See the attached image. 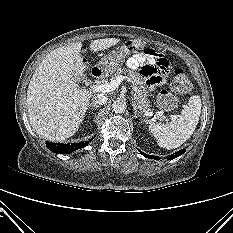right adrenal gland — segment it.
Returning a JSON list of instances; mask_svg holds the SVG:
<instances>
[{
	"label": "right adrenal gland",
	"instance_id": "2a0ac1e0",
	"mask_svg": "<svg viewBox=\"0 0 233 233\" xmlns=\"http://www.w3.org/2000/svg\"><path fill=\"white\" fill-rule=\"evenodd\" d=\"M90 107L97 108V107H99V106H98V105H96V104H94V103H91V104H88V106H87V109H86V110L90 109Z\"/></svg>",
	"mask_w": 233,
	"mask_h": 233
}]
</instances>
